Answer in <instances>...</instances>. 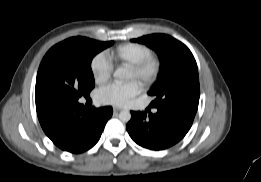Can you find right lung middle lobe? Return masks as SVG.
<instances>
[{
  "mask_svg": "<svg viewBox=\"0 0 261 182\" xmlns=\"http://www.w3.org/2000/svg\"><path fill=\"white\" fill-rule=\"evenodd\" d=\"M85 37H72L53 46L44 56L36 78V105L77 102L94 88L93 57L111 46Z\"/></svg>",
  "mask_w": 261,
  "mask_h": 182,
  "instance_id": "dd1d6c3e",
  "label": "right lung middle lobe"
}]
</instances>
